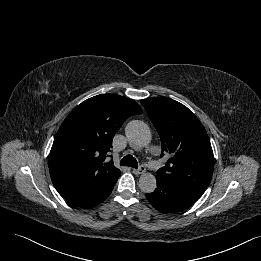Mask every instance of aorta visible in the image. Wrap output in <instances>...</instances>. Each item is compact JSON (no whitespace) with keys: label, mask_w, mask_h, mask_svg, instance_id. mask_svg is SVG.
Returning <instances> with one entry per match:
<instances>
[{"label":"aorta","mask_w":261,"mask_h":261,"mask_svg":"<svg viewBox=\"0 0 261 261\" xmlns=\"http://www.w3.org/2000/svg\"><path fill=\"white\" fill-rule=\"evenodd\" d=\"M125 134L129 142L136 147H144L151 141L149 127L142 121L128 123ZM157 187L156 178L152 173H143L139 178V188L145 193H152Z\"/></svg>","instance_id":"aorta-1"}]
</instances>
